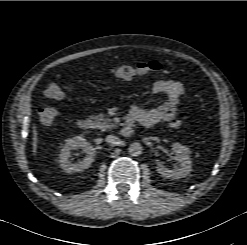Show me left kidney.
I'll return each instance as SVG.
<instances>
[{
	"instance_id": "left-kidney-1",
	"label": "left kidney",
	"mask_w": 247,
	"mask_h": 245,
	"mask_svg": "<svg viewBox=\"0 0 247 245\" xmlns=\"http://www.w3.org/2000/svg\"><path fill=\"white\" fill-rule=\"evenodd\" d=\"M172 151L175 153V160L180 163L179 166L174 169H169L159 163L157 165L158 173L171 180L186 177L192 170L190 150L177 142L172 145Z\"/></svg>"
}]
</instances>
